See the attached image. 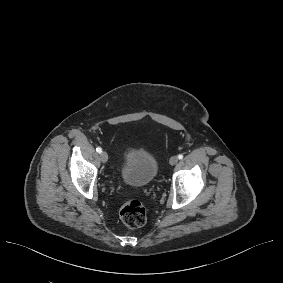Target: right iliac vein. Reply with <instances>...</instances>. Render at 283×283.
Instances as JSON below:
<instances>
[{
	"label": "right iliac vein",
	"mask_w": 283,
	"mask_h": 283,
	"mask_svg": "<svg viewBox=\"0 0 283 283\" xmlns=\"http://www.w3.org/2000/svg\"><path fill=\"white\" fill-rule=\"evenodd\" d=\"M100 159L103 163H106L108 161V155L105 151H102L100 154Z\"/></svg>",
	"instance_id": "right-iliac-vein-1"
}]
</instances>
